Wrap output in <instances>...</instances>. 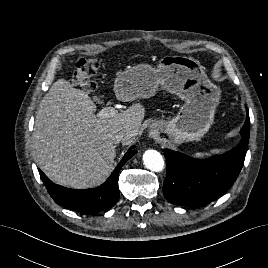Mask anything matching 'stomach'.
Wrapping results in <instances>:
<instances>
[{
	"instance_id": "stomach-1",
	"label": "stomach",
	"mask_w": 268,
	"mask_h": 268,
	"mask_svg": "<svg viewBox=\"0 0 268 268\" xmlns=\"http://www.w3.org/2000/svg\"><path fill=\"white\" fill-rule=\"evenodd\" d=\"M158 87L185 103L176 116L155 121L151 130L166 133L174 144L202 138L213 124L220 90L200 62L186 56H166L157 68L139 64L119 73L114 82L117 97L126 101L150 97Z\"/></svg>"
}]
</instances>
